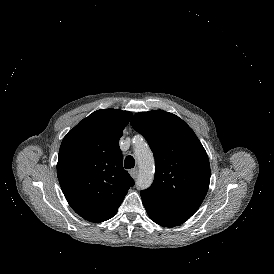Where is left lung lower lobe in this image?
<instances>
[{"label":"left lung lower lobe","mask_w":274,"mask_h":274,"mask_svg":"<svg viewBox=\"0 0 274 274\" xmlns=\"http://www.w3.org/2000/svg\"><path fill=\"white\" fill-rule=\"evenodd\" d=\"M140 194L149 217L161 226L174 227L182 224L195 213L193 210L173 205L147 190L141 191Z\"/></svg>","instance_id":"1"}]
</instances>
